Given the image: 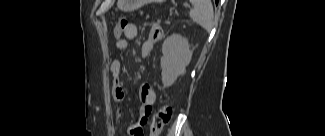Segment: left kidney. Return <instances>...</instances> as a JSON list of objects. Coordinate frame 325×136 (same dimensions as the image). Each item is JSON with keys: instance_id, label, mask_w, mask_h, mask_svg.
<instances>
[{"instance_id": "obj_1", "label": "left kidney", "mask_w": 325, "mask_h": 136, "mask_svg": "<svg viewBox=\"0 0 325 136\" xmlns=\"http://www.w3.org/2000/svg\"><path fill=\"white\" fill-rule=\"evenodd\" d=\"M161 69L164 87H170L183 75L192 58L190 45L185 37L173 33L162 45Z\"/></svg>"}]
</instances>
